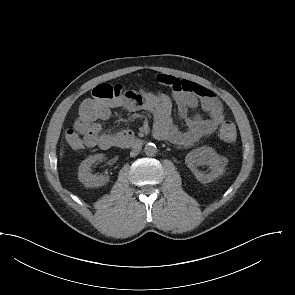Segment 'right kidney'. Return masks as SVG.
I'll return each mask as SVG.
<instances>
[{
  "instance_id": "obj_1",
  "label": "right kidney",
  "mask_w": 295,
  "mask_h": 295,
  "mask_svg": "<svg viewBox=\"0 0 295 295\" xmlns=\"http://www.w3.org/2000/svg\"><path fill=\"white\" fill-rule=\"evenodd\" d=\"M102 154L90 156L82 161L79 166L78 179L84 184L85 187H102L108 181L109 177L104 175H93L91 173V166L97 161L103 159Z\"/></svg>"
}]
</instances>
